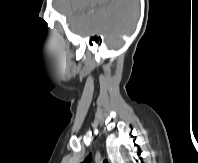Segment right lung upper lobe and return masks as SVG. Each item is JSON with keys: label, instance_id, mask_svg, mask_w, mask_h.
I'll return each instance as SVG.
<instances>
[{"label": "right lung upper lobe", "instance_id": "right-lung-upper-lobe-1", "mask_svg": "<svg viewBox=\"0 0 198 163\" xmlns=\"http://www.w3.org/2000/svg\"><path fill=\"white\" fill-rule=\"evenodd\" d=\"M91 160H92V156H91V154H89V155L87 156V158H86L82 163H90Z\"/></svg>", "mask_w": 198, "mask_h": 163}]
</instances>
